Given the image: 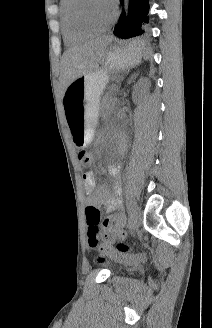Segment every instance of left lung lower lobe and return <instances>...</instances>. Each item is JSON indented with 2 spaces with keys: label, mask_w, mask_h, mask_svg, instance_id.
I'll return each instance as SVG.
<instances>
[{
  "label": "left lung lower lobe",
  "mask_w": 212,
  "mask_h": 328,
  "mask_svg": "<svg viewBox=\"0 0 212 328\" xmlns=\"http://www.w3.org/2000/svg\"><path fill=\"white\" fill-rule=\"evenodd\" d=\"M148 10V0H130L128 16L125 17V13H122L114 34L124 39L143 34L141 27L148 23Z\"/></svg>",
  "instance_id": "0a47b994"
}]
</instances>
